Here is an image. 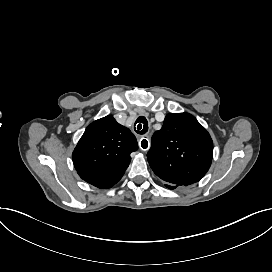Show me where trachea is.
Wrapping results in <instances>:
<instances>
[{
  "mask_svg": "<svg viewBox=\"0 0 272 272\" xmlns=\"http://www.w3.org/2000/svg\"><path fill=\"white\" fill-rule=\"evenodd\" d=\"M137 123V127H134L135 131L138 134H145L148 131V121L146 120V118L143 116L138 117L135 124Z\"/></svg>",
  "mask_w": 272,
  "mask_h": 272,
  "instance_id": "obj_1",
  "label": "trachea"
}]
</instances>
